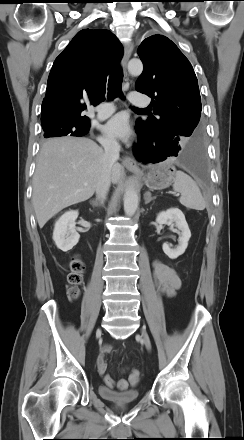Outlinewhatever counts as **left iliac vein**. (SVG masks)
<instances>
[{"mask_svg":"<svg viewBox=\"0 0 244 440\" xmlns=\"http://www.w3.org/2000/svg\"><path fill=\"white\" fill-rule=\"evenodd\" d=\"M141 337H142V341L145 344L146 348L148 350H151V342H150L148 334L146 333V331L144 329L141 331Z\"/></svg>","mask_w":244,"mask_h":440,"instance_id":"left-iliac-vein-1","label":"left iliac vein"}]
</instances>
